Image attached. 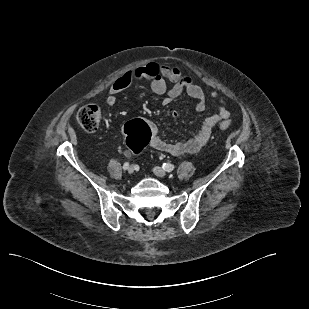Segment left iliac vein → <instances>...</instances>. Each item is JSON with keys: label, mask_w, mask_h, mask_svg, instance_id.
Returning a JSON list of instances; mask_svg holds the SVG:
<instances>
[{"label": "left iliac vein", "mask_w": 309, "mask_h": 309, "mask_svg": "<svg viewBox=\"0 0 309 309\" xmlns=\"http://www.w3.org/2000/svg\"><path fill=\"white\" fill-rule=\"evenodd\" d=\"M153 172L156 176L161 177V178L166 176V171L163 168L158 167V166L153 168Z\"/></svg>", "instance_id": "1"}]
</instances>
